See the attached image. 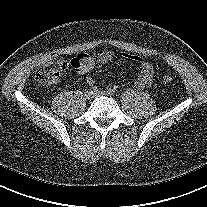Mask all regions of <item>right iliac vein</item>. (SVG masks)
<instances>
[{"label":"right iliac vein","mask_w":207,"mask_h":207,"mask_svg":"<svg viewBox=\"0 0 207 207\" xmlns=\"http://www.w3.org/2000/svg\"><path fill=\"white\" fill-rule=\"evenodd\" d=\"M94 97V95H93V93L92 92H90V91H87L86 93H85V98L86 99H92Z\"/></svg>","instance_id":"1"}]
</instances>
